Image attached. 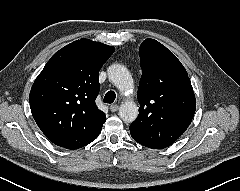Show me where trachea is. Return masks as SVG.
Masks as SVG:
<instances>
[{
    "label": "trachea",
    "instance_id": "1",
    "mask_svg": "<svg viewBox=\"0 0 240 191\" xmlns=\"http://www.w3.org/2000/svg\"><path fill=\"white\" fill-rule=\"evenodd\" d=\"M115 98H116L115 92L114 91H108L104 96L103 102L111 104V103L114 102Z\"/></svg>",
    "mask_w": 240,
    "mask_h": 191
}]
</instances>
